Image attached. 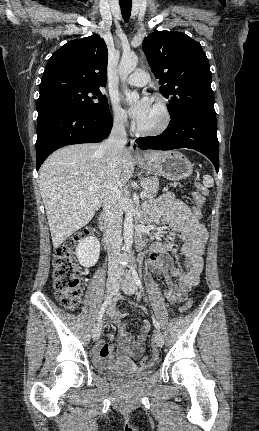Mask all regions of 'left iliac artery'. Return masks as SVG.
I'll use <instances>...</instances> for the list:
<instances>
[{
	"mask_svg": "<svg viewBox=\"0 0 259 431\" xmlns=\"http://www.w3.org/2000/svg\"><path fill=\"white\" fill-rule=\"evenodd\" d=\"M131 271H132V276H133V278H134V280H135L136 284L138 285V287H139L141 290H143L142 282H141L140 277L138 276L137 271L135 270V267L133 266V264H131ZM153 323H154V326H155L157 329H160V325H159L158 321L155 319V317H154V316H153Z\"/></svg>",
	"mask_w": 259,
	"mask_h": 431,
	"instance_id": "44dca946",
	"label": "left iliac artery"
}]
</instances>
